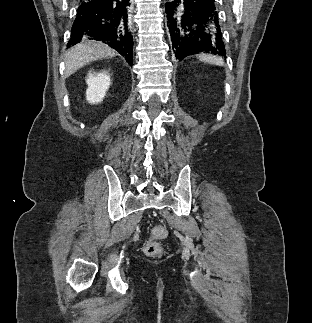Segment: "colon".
<instances>
[{"mask_svg": "<svg viewBox=\"0 0 312 323\" xmlns=\"http://www.w3.org/2000/svg\"><path fill=\"white\" fill-rule=\"evenodd\" d=\"M166 231L163 227L154 228L151 232V237L146 241L144 251L149 256H158L161 253L160 246L155 242V238L164 236Z\"/></svg>", "mask_w": 312, "mask_h": 323, "instance_id": "obj_1", "label": "colon"}]
</instances>
